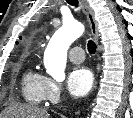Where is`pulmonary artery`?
<instances>
[{
  "mask_svg": "<svg viewBox=\"0 0 133 118\" xmlns=\"http://www.w3.org/2000/svg\"><path fill=\"white\" fill-rule=\"evenodd\" d=\"M69 59L74 63H81L84 60V50L81 46H74L69 50Z\"/></svg>",
  "mask_w": 133,
  "mask_h": 118,
  "instance_id": "obj_1",
  "label": "pulmonary artery"
}]
</instances>
